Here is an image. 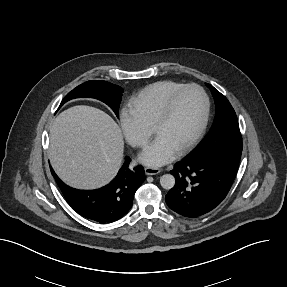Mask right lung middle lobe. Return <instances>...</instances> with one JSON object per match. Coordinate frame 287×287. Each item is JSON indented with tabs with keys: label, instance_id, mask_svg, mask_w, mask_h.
Returning <instances> with one entry per match:
<instances>
[{
	"label": "right lung middle lobe",
	"instance_id": "right-lung-middle-lobe-1",
	"mask_svg": "<svg viewBox=\"0 0 287 287\" xmlns=\"http://www.w3.org/2000/svg\"><path fill=\"white\" fill-rule=\"evenodd\" d=\"M122 93L123 89L112 83L106 81H87L69 92L60 106L73 98H95L106 103L118 117Z\"/></svg>",
	"mask_w": 287,
	"mask_h": 287
}]
</instances>
